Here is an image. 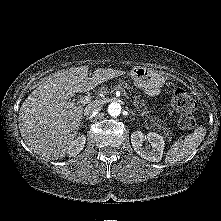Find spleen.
Wrapping results in <instances>:
<instances>
[{
  "label": "spleen",
  "instance_id": "1",
  "mask_svg": "<svg viewBox=\"0 0 221 221\" xmlns=\"http://www.w3.org/2000/svg\"><path fill=\"white\" fill-rule=\"evenodd\" d=\"M206 129L198 127L193 133L187 135L184 140L176 141L167 152L165 162L175 163L187 158L202 142Z\"/></svg>",
  "mask_w": 221,
  "mask_h": 221
}]
</instances>
